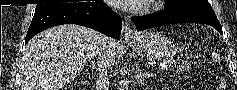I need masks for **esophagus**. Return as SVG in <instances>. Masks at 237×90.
Masks as SVG:
<instances>
[{"mask_svg": "<svg viewBox=\"0 0 237 90\" xmlns=\"http://www.w3.org/2000/svg\"><path fill=\"white\" fill-rule=\"evenodd\" d=\"M136 34L134 33V31L132 30V28H130L129 24H128V20L126 19L123 26H122V32H121V38L123 40V42H130L136 39Z\"/></svg>", "mask_w": 237, "mask_h": 90, "instance_id": "obj_1", "label": "esophagus"}]
</instances>
